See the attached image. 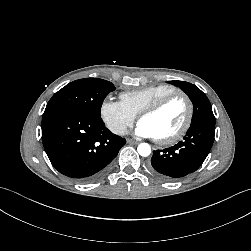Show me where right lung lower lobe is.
<instances>
[{
  "label": "right lung lower lobe",
  "instance_id": "98d812e1",
  "mask_svg": "<svg viewBox=\"0 0 251 251\" xmlns=\"http://www.w3.org/2000/svg\"><path fill=\"white\" fill-rule=\"evenodd\" d=\"M42 141L52 165L79 182L100 177L126 141L109 131L102 119L85 113L43 114Z\"/></svg>",
  "mask_w": 251,
  "mask_h": 251
}]
</instances>
